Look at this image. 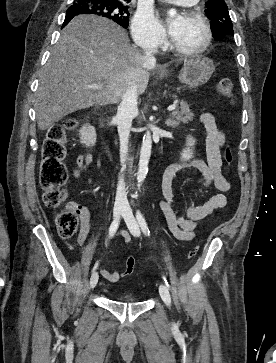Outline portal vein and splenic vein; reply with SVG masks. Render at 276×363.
Segmentation results:
<instances>
[{
    "instance_id": "portal-vein-and-splenic-vein-1",
    "label": "portal vein and splenic vein",
    "mask_w": 276,
    "mask_h": 363,
    "mask_svg": "<svg viewBox=\"0 0 276 363\" xmlns=\"http://www.w3.org/2000/svg\"><path fill=\"white\" fill-rule=\"evenodd\" d=\"M89 88L93 89V90H101L103 88V85L102 84H94V85L89 86ZM167 109H168V111H173V110L176 109V105L172 104Z\"/></svg>"
}]
</instances>
